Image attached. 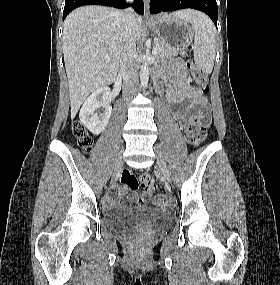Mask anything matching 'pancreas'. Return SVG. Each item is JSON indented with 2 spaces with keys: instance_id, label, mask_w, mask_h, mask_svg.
Instances as JSON below:
<instances>
[{
  "instance_id": "pancreas-1",
  "label": "pancreas",
  "mask_w": 280,
  "mask_h": 285,
  "mask_svg": "<svg viewBox=\"0 0 280 285\" xmlns=\"http://www.w3.org/2000/svg\"><path fill=\"white\" fill-rule=\"evenodd\" d=\"M155 48L158 49V54L156 55L157 58L163 59L168 58L170 56H175L178 54L179 50L170 46L166 42L162 41L159 38L154 39ZM182 56H185L183 51H180Z\"/></svg>"
}]
</instances>
